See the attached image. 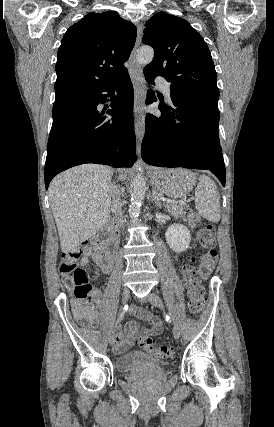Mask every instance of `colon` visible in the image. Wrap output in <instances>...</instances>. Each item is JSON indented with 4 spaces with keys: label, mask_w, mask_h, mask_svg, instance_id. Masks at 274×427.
<instances>
[{
    "label": "colon",
    "mask_w": 274,
    "mask_h": 427,
    "mask_svg": "<svg viewBox=\"0 0 274 427\" xmlns=\"http://www.w3.org/2000/svg\"><path fill=\"white\" fill-rule=\"evenodd\" d=\"M186 216L192 223L200 220L199 216L194 213L188 212ZM198 240L202 248H216L215 226L210 222H205L198 233ZM78 244L82 248H87L91 244V239L87 235H82L78 239ZM81 257L82 253L79 250L68 252L62 259L60 272L65 276L68 288L77 300L90 301L95 297V291L89 282L86 270L78 263ZM182 275L188 291V310L197 314L207 298L202 280L198 279L197 270L192 263L183 266ZM139 345L143 350L160 359L170 358L176 351L174 345H158L148 337H140Z\"/></svg>",
    "instance_id": "obj_1"
}]
</instances>
